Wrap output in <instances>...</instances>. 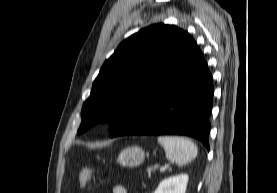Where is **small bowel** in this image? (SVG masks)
<instances>
[{
  "mask_svg": "<svg viewBox=\"0 0 277 193\" xmlns=\"http://www.w3.org/2000/svg\"><path fill=\"white\" fill-rule=\"evenodd\" d=\"M112 193H128V190L121 185H117L113 188Z\"/></svg>",
  "mask_w": 277,
  "mask_h": 193,
  "instance_id": "c3829d8e",
  "label": "small bowel"
}]
</instances>
